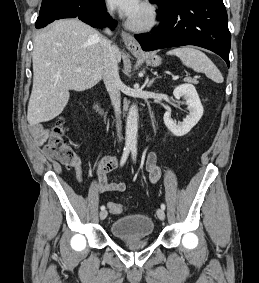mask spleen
<instances>
[{
	"instance_id": "3e777b00",
	"label": "spleen",
	"mask_w": 259,
	"mask_h": 283,
	"mask_svg": "<svg viewBox=\"0 0 259 283\" xmlns=\"http://www.w3.org/2000/svg\"><path fill=\"white\" fill-rule=\"evenodd\" d=\"M167 55L177 56L186 67L205 73L217 83L223 82V77L214 63L203 52L193 47L176 48L168 51Z\"/></svg>"
}]
</instances>
